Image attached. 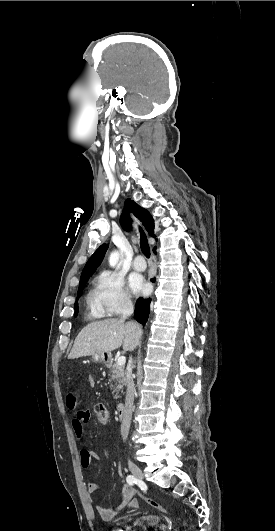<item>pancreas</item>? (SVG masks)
<instances>
[{
    "instance_id": "obj_1",
    "label": "pancreas",
    "mask_w": 275,
    "mask_h": 531,
    "mask_svg": "<svg viewBox=\"0 0 275 531\" xmlns=\"http://www.w3.org/2000/svg\"><path fill=\"white\" fill-rule=\"evenodd\" d=\"M106 367H108V369H112V375L109 381L115 383V385H113V393H115L114 399H119V391H121V389H123L127 383L124 365H116V363H114V365H106Z\"/></svg>"
}]
</instances>
